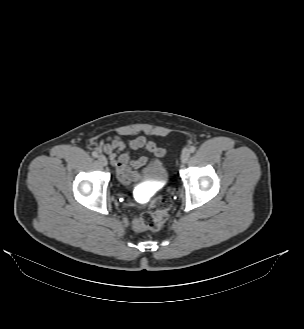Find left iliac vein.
<instances>
[{"label":"left iliac vein","instance_id":"1","mask_svg":"<svg viewBox=\"0 0 304 329\" xmlns=\"http://www.w3.org/2000/svg\"><path fill=\"white\" fill-rule=\"evenodd\" d=\"M190 158V152L188 150H184L181 155V162L186 163Z\"/></svg>","mask_w":304,"mask_h":329}]
</instances>
